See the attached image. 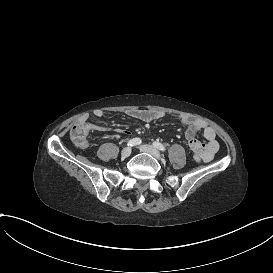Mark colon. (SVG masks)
<instances>
[{"mask_svg":"<svg viewBox=\"0 0 273 273\" xmlns=\"http://www.w3.org/2000/svg\"><path fill=\"white\" fill-rule=\"evenodd\" d=\"M90 131V125L86 121H81L77 125L74 126L71 134L72 141L76 144L79 148H84L88 144L87 134ZM188 147L200 153L206 151L207 146L205 143L201 141H197L194 138H191L187 142Z\"/></svg>","mask_w":273,"mask_h":273,"instance_id":"colon-1","label":"colon"}]
</instances>
